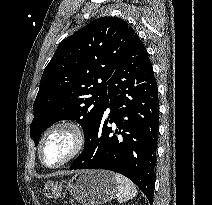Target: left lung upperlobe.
Returning <instances> with one entry per match:
<instances>
[{
    "instance_id": "1",
    "label": "left lung upper lobe",
    "mask_w": 212,
    "mask_h": 205,
    "mask_svg": "<svg viewBox=\"0 0 212 205\" xmlns=\"http://www.w3.org/2000/svg\"><path fill=\"white\" fill-rule=\"evenodd\" d=\"M135 34L126 21L102 17L60 43L33 105L30 133L35 146L40 134L59 120H77L88 140L109 101L108 80Z\"/></svg>"
}]
</instances>
